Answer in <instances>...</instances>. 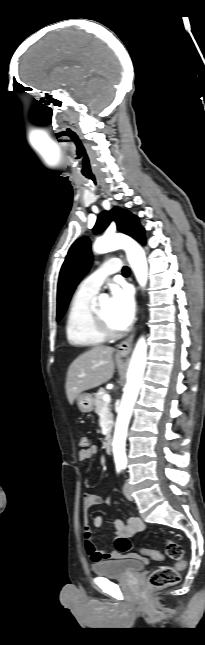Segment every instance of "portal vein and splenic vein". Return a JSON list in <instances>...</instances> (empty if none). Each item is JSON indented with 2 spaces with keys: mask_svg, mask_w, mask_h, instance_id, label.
<instances>
[{
  "mask_svg": "<svg viewBox=\"0 0 205 645\" xmlns=\"http://www.w3.org/2000/svg\"><path fill=\"white\" fill-rule=\"evenodd\" d=\"M103 400H104L106 403H109V402L111 401V398H110V396H109L108 394H105V395L103 396Z\"/></svg>",
  "mask_w": 205,
  "mask_h": 645,
  "instance_id": "portal-vein-and-splenic-vein-1",
  "label": "portal vein and splenic vein"
}]
</instances>
